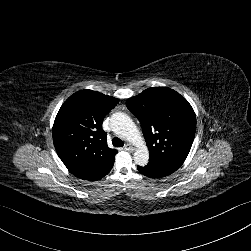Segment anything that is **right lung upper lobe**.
<instances>
[{
    "label": "right lung upper lobe",
    "mask_w": 251,
    "mask_h": 251,
    "mask_svg": "<svg viewBox=\"0 0 251 251\" xmlns=\"http://www.w3.org/2000/svg\"><path fill=\"white\" fill-rule=\"evenodd\" d=\"M118 102L112 96L85 89L61 106L52 129L53 143L74 176L96 181L112 169L118 151L108 147L102 122Z\"/></svg>",
    "instance_id": "1"
}]
</instances>
